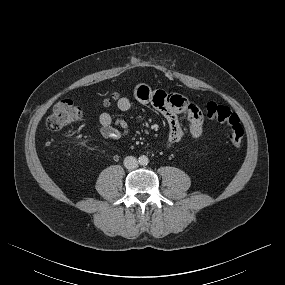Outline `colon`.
<instances>
[{"instance_id":"1","label":"colon","mask_w":285,"mask_h":285,"mask_svg":"<svg viewBox=\"0 0 285 285\" xmlns=\"http://www.w3.org/2000/svg\"><path fill=\"white\" fill-rule=\"evenodd\" d=\"M107 103H109V99L105 100V104ZM206 114L208 118L216 120L227 127L228 138L233 145L238 146L242 143L244 129L238 116L229 107L211 102L206 106ZM81 118V108L73 101L65 99L54 105L46 123L50 130L58 131L79 122Z\"/></svg>"}]
</instances>
